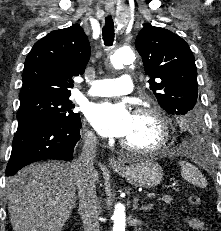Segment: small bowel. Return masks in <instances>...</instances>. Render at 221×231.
Masks as SVG:
<instances>
[{
    "instance_id": "c3829d8e",
    "label": "small bowel",
    "mask_w": 221,
    "mask_h": 231,
    "mask_svg": "<svg viewBox=\"0 0 221 231\" xmlns=\"http://www.w3.org/2000/svg\"><path fill=\"white\" fill-rule=\"evenodd\" d=\"M188 225L194 229L195 231H204L205 230V224L200 219H197L195 217L189 216L187 218Z\"/></svg>"
}]
</instances>
